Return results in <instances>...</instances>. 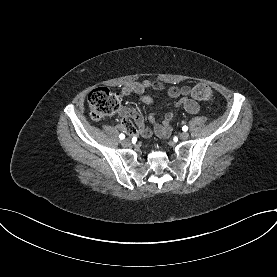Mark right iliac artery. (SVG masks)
Returning a JSON list of instances; mask_svg holds the SVG:
<instances>
[{
  "label": "right iliac artery",
  "instance_id": "82829eb1",
  "mask_svg": "<svg viewBox=\"0 0 277 277\" xmlns=\"http://www.w3.org/2000/svg\"><path fill=\"white\" fill-rule=\"evenodd\" d=\"M119 138H120V139H124V138H125V135H124V134H120V135H119Z\"/></svg>",
  "mask_w": 277,
  "mask_h": 277
}]
</instances>
